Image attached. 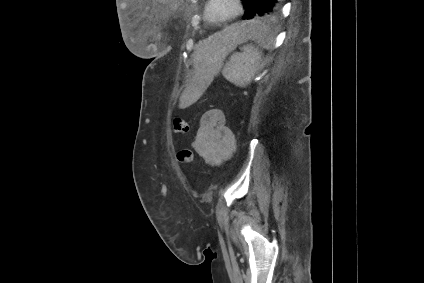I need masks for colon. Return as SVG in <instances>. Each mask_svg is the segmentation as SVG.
Listing matches in <instances>:
<instances>
[{"label":"colon","instance_id":"1","mask_svg":"<svg viewBox=\"0 0 424 283\" xmlns=\"http://www.w3.org/2000/svg\"><path fill=\"white\" fill-rule=\"evenodd\" d=\"M173 127H174V132L177 134H186L190 131L189 123L181 117H176L174 119ZM177 157L179 161H181L182 163L186 165L191 164L193 161V155L190 150L184 149L179 151L177 154Z\"/></svg>","mask_w":424,"mask_h":283}]
</instances>
